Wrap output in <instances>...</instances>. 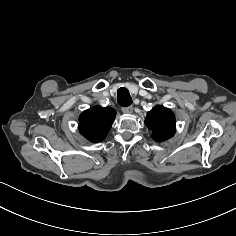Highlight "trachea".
Instances as JSON below:
<instances>
[{
    "label": "trachea",
    "instance_id": "3493384b",
    "mask_svg": "<svg viewBox=\"0 0 236 236\" xmlns=\"http://www.w3.org/2000/svg\"><path fill=\"white\" fill-rule=\"evenodd\" d=\"M117 102L120 106L127 107L132 104V98L129 91L125 87H121L117 91Z\"/></svg>",
    "mask_w": 236,
    "mask_h": 236
}]
</instances>
